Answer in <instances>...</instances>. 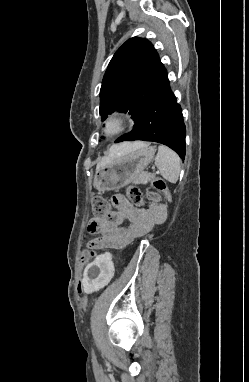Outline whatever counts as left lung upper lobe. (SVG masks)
Instances as JSON below:
<instances>
[{
  "mask_svg": "<svg viewBox=\"0 0 249 382\" xmlns=\"http://www.w3.org/2000/svg\"><path fill=\"white\" fill-rule=\"evenodd\" d=\"M167 77L153 45L133 37L114 54L100 90L102 120L115 112H127L136 123Z\"/></svg>",
  "mask_w": 249,
  "mask_h": 382,
  "instance_id": "1",
  "label": "left lung upper lobe"
}]
</instances>
